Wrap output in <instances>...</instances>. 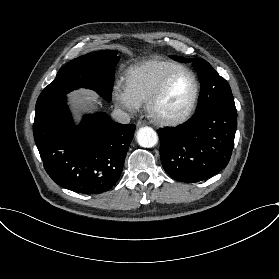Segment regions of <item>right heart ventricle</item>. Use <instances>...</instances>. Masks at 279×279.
<instances>
[{"instance_id": "right-heart-ventricle-1", "label": "right heart ventricle", "mask_w": 279, "mask_h": 279, "mask_svg": "<svg viewBox=\"0 0 279 279\" xmlns=\"http://www.w3.org/2000/svg\"><path fill=\"white\" fill-rule=\"evenodd\" d=\"M184 68L186 67L183 64L173 60H147L129 68L125 85L143 101H148L168 74Z\"/></svg>"}]
</instances>
